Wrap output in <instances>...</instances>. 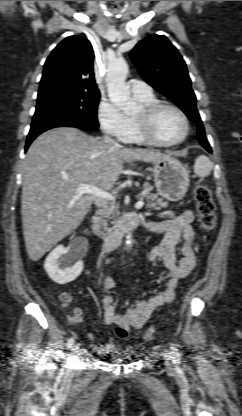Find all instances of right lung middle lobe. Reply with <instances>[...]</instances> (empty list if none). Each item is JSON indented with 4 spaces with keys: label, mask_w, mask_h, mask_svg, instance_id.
<instances>
[{
    "label": "right lung middle lobe",
    "mask_w": 242,
    "mask_h": 416,
    "mask_svg": "<svg viewBox=\"0 0 242 416\" xmlns=\"http://www.w3.org/2000/svg\"><path fill=\"white\" fill-rule=\"evenodd\" d=\"M99 93L56 90L38 95L37 107L32 125L45 121L70 119L85 124L90 129H97V106Z\"/></svg>",
    "instance_id": "dd1d6c3e"
}]
</instances>
